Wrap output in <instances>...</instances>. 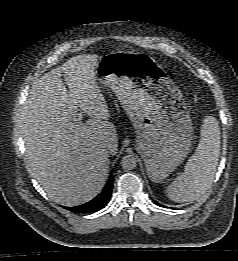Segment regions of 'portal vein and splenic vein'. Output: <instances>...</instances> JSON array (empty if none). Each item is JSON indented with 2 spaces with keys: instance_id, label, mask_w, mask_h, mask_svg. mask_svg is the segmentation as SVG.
<instances>
[{
  "instance_id": "portal-vein-and-splenic-vein-1",
  "label": "portal vein and splenic vein",
  "mask_w": 238,
  "mask_h": 261,
  "mask_svg": "<svg viewBox=\"0 0 238 261\" xmlns=\"http://www.w3.org/2000/svg\"><path fill=\"white\" fill-rule=\"evenodd\" d=\"M82 116H83L82 113H77V114H76L75 122H76V123H80L81 120H82V118H83Z\"/></svg>"
}]
</instances>
